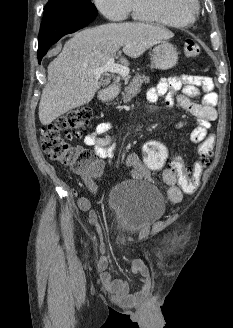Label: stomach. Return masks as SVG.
<instances>
[{
    "instance_id": "stomach-1",
    "label": "stomach",
    "mask_w": 233,
    "mask_h": 328,
    "mask_svg": "<svg viewBox=\"0 0 233 328\" xmlns=\"http://www.w3.org/2000/svg\"><path fill=\"white\" fill-rule=\"evenodd\" d=\"M151 61L154 67L161 70L174 67L178 61L176 48L167 41H161L152 49Z\"/></svg>"
}]
</instances>
